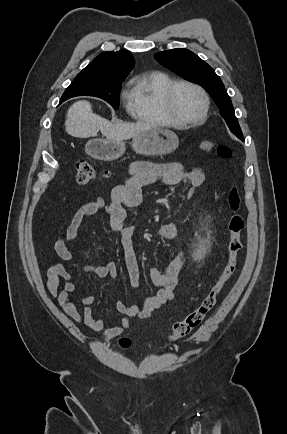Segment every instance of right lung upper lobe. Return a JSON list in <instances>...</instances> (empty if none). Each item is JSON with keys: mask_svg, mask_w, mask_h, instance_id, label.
I'll return each mask as SVG.
<instances>
[{"mask_svg": "<svg viewBox=\"0 0 287 434\" xmlns=\"http://www.w3.org/2000/svg\"><path fill=\"white\" fill-rule=\"evenodd\" d=\"M132 54L127 50L104 52L77 76L108 80H124L134 67Z\"/></svg>", "mask_w": 287, "mask_h": 434, "instance_id": "obj_1", "label": "right lung upper lobe"}]
</instances>
